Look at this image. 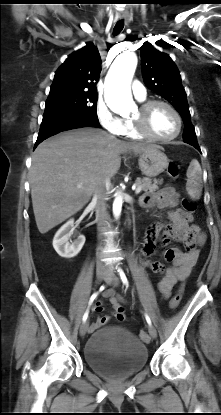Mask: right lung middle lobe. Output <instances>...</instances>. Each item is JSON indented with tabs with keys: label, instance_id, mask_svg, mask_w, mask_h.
Wrapping results in <instances>:
<instances>
[{
	"label": "right lung middle lobe",
	"instance_id": "right-lung-middle-lobe-1",
	"mask_svg": "<svg viewBox=\"0 0 221 415\" xmlns=\"http://www.w3.org/2000/svg\"><path fill=\"white\" fill-rule=\"evenodd\" d=\"M45 111L80 113L98 120L97 92L61 91L50 93Z\"/></svg>",
	"mask_w": 221,
	"mask_h": 415
}]
</instances>
